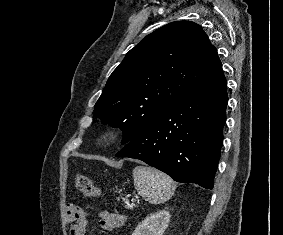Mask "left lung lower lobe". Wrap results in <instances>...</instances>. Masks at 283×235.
<instances>
[{"mask_svg": "<svg viewBox=\"0 0 283 235\" xmlns=\"http://www.w3.org/2000/svg\"><path fill=\"white\" fill-rule=\"evenodd\" d=\"M226 87L221 68L178 99L116 156L142 160L177 182L212 189L226 121Z\"/></svg>", "mask_w": 283, "mask_h": 235, "instance_id": "1", "label": "left lung lower lobe"}]
</instances>
